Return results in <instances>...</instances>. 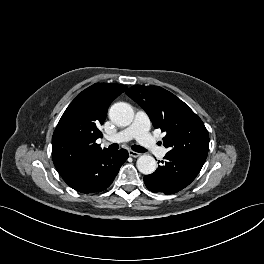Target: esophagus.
Returning <instances> with one entry per match:
<instances>
[{"label":"esophagus","instance_id":"obj_1","mask_svg":"<svg viewBox=\"0 0 264 264\" xmlns=\"http://www.w3.org/2000/svg\"><path fill=\"white\" fill-rule=\"evenodd\" d=\"M128 153L133 158H137V157H139L141 155L140 153L132 151V150H129Z\"/></svg>","mask_w":264,"mask_h":264}]
</instances>
